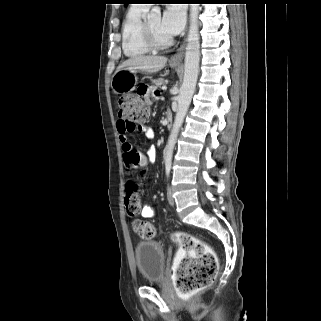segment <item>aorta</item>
I'll return each instance as SVG.
<instances>
[{"instance_id":"obj_1","label":"aorta","mask_w":321,"mask_h":321,"mask_svg":"<svg viewBox=\"0 0 321 321\" xmlns=\"http://www.w3.org/2000/svg\"><path fill=\"white\" fill-rule=\"evenodd\" d=\"M153 15H160V7L151 9ZM199 4H191L190 27L185 53L184 79L178 96V108L166 146L165 162L171 163L173 149L177 140L179 130L183 124L187 110L195 91L200 61V36L198 27Z\"/></svg>"}]
</instances>
